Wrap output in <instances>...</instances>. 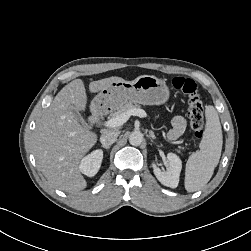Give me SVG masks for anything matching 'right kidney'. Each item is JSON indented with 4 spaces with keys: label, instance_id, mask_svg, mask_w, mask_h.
I'll return each mask as SVG.
<instances>
[{
    "label": "right kidney",
    "instance_id": "obj_1",
    "mask_svg": "<svg viewBox=\"0 0 251 251\" xmlns=\"http://www.w3.org/2000/svg\"><path fill=\"white\" fill-rule=\"evenodd\" d=\"M102 159L103 151L95 150L81 160L79 169L84 175L93 177L99 171Z\"/></svg>",
    "mask_w": 251,
    "mask_h": 251
}]
</instances>
